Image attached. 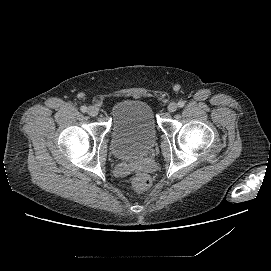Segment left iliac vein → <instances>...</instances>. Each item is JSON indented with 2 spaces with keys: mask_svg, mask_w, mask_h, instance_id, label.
Listing matches in <instances>:
<instances>
[{
  "mask_svg": "<svg viewBox=\"0 0 271 271\" xmlns=\"http://www.w3.org/2000/svg\"><path fill=\"white\" fill-rule=\"evenodd\" d=\"M178 108V105L175 103V102H171L169 105H168V111L169 112H175Z\"/></svg>",
  "mask_w": 271,
  "mask_h": 271,
  "instance_id": "obj_1",
  "label": "left iliac vein"
}]
</instances>
